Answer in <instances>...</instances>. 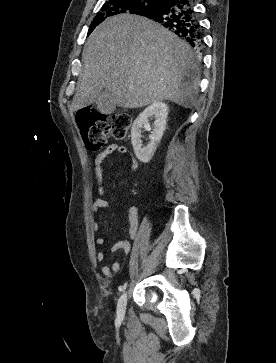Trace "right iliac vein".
<instances>
[{
	"instance_id": "right-iliac-vein-1",
	"label": "right iliac vein",
	"mask_w": 276,
	"mask_h": 363,
	"mask_svg": "<svg viewBox=\"0 0 276 363\" xmlns=\"http://www.w3.org/2000/svg\"><path fill=\"white\" fill-rule=\"evenodd\" d=\"M126 304H127V292H123L120 296L117 304V315L118 317L123 318L126 312Z\"/></svg>"
}]
</instances>
